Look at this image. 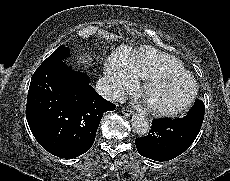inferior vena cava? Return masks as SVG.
I'll use <instances>...</instances> for the list:
<instances>
[{
  "mask_svg": "<svg viewBox=\"0 0 230 181\" xmlns=\"http://www.w3.org/2000/svg\"><path fill=\"white\" fill-rule=\"evenodd\" d=\"M96 91L106 100L119 102L123 99V88L107 77L100 78L96 83Z\"/></svg>",
  "mask_w": 230,
  "mask_h": 181,
  "instance_id": "inferior-vena-cava-1",
  "label": "inferior vena cava"
}]
</instances>
